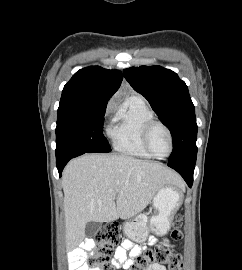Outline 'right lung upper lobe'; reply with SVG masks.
<instances>
[{
    "mask_svg": "<svg viewBox=\"0 0 242 270\" xmlns=\"http://www.w3.org/2000/svg\"><path fill=\"white\" fill-rule=\"evenodd\" d=\"M123 79L118 70L91 66L76 72L64 86L59 108L105 107Z\"/></svg>",
    "mask_w": 242,
    "mask_h": 270,
    "instance_id": "1",
    "label": "right lung upper lobe"
}]
</instances>
